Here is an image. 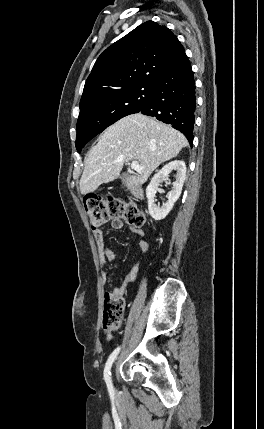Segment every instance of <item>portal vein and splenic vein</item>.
<instances>
[{
	"label": "portal vein and splenic vein",
	"mask_w": 264,
	"mask_h": 429,
	"mask_svg": "<svg viewBox=\"0 0 264 429\" xmlns=\"http://www.w3.org/2000/svg\"><path fill=\"white\" fill-rule=\"evenodd\" d=\"M130 166H131V168H132L133 170H136V171H141V170H143V169H144V167H143V166H140V164H139V162H138V161H132V162H131V164H130Z\"/></svg>",
	"instance_id": "obj_1"
}]
</instances>
